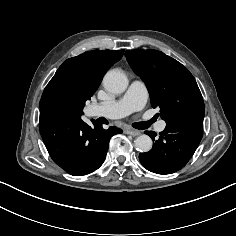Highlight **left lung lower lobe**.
<instances>
[{
	"mask_svg": "<svg viewBox=\"0 0 236 236\" xmlns=\"http://www.w3.org/2000/svg\"><path fill=\"white\" fill-rule=\"evenodd\" d=\"M155 143L150 151L139 154L147 170L158 174H171L183 168L194 154L203 134V119H180L167 123L156 138L146 131Z\"/></svg>",
	"mask_w": 236,
	"mask_h": 236,
	"instance_id": "obj_1",
	"label": "left lung lower lobe"
}]
</instances>
